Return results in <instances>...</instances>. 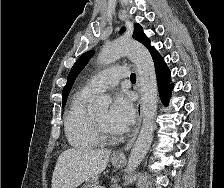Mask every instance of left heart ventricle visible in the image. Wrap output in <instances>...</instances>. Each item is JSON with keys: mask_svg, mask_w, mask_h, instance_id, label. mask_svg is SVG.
<instances>
[{"mask_svg": "<svg viewBox=\"0 0 224 188\" xmlns=\"http://www.w3.org/2000/svg\"><path fill=\"white\" fill-rule=\"evenodd\" d=\"M95 115L109 134H117V132L111 127V125L109 123V111L108 110L99 111V112L95 113Z\"/></svg>", "mask_w": 224, "mask_h": 188, "instance_id": "b2bd125f", "label": "left heart ventricle"}]
</instances>
